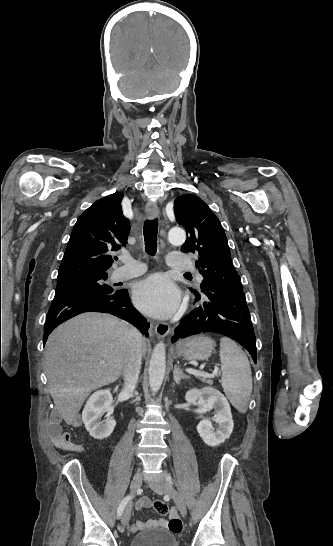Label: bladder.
Segmentation results:
<instances>
[{
    "mask_svg": "<svg viewBox=\"0 0 333 546\" xmlns=\"http://www.w3.org/2000/svg\"><path fill=\"white\" fill-rule=\"evenodd\" d=\"M129 546H178L176 537L165 529H152L135 535Z\"/></svg>",
    "mask_w": 333,
    "mask_h": 546,
    "instance_id": "obj_1",
    "label": "bladder"
}]
</instances>
